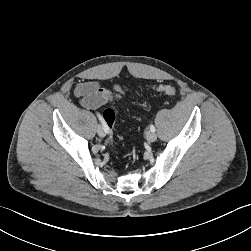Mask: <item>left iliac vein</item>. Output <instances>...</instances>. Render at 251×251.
Here are the masks:
<instances>
[{
    "label": "left iliac vein",
    "instance_id": "4c4485c4",
    "mask_svg": "<svg viewBox=\"0 0 251 251\" xmlns=\"http://www.w3.org/2000/svg\"><path fill=\"white\" fill-rule=\"evenodd\" d=\"M146 138L149 142H154L157 139V135L155 132H152L151 130L147 132Z\"/></svg>",
    "mask_w": 251,
    "mask_h": 251
}]
</instances>
